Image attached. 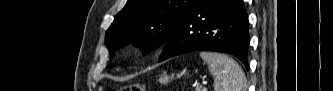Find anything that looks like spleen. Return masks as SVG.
I'll return each instance as SVG.
<instances>
[{
    "instance_id": "1",
    "label": "spleen",
    "mask_w": 333,
    "mask_h": 91,
    "mask_svg": "<svg viewBox=\"0 0 333 91\" xmlns=\"http://www.w3.org/2000/svg\"><path fill=\"white\" fill-rule=\"evenodd\" d=\"M200 56L214 76L215 91H246L245 74L233 58L216 52H201Z\"/></svg>"
}]
</instances>
